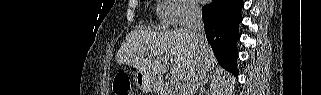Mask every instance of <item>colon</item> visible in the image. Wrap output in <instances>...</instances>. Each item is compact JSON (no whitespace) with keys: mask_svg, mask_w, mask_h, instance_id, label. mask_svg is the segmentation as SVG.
<instances>
[{"mask_svg":"<svg viewBox=\"0 0 321 95\" xmlns=\"http://www.w3.org/2000/svg\"><path fill=\"white\" fill-rule=\"evenodd\" d=\"M114 92L116 95H133L129 77L117 75L114 79Z\"/></svg>","mask_w":321,"mask_h":95,"instance_id":"obj_1","label":"colon"}]
</instances>
